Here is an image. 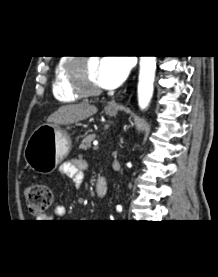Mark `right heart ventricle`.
<instances>
[{
  "instance_id": "obj_1",
  "label": "right heart ventricle",
  "mask_w": 218,
  "mask_h": 277,
  "mask_svg": "<svg viewBox=\"0 0 218 277\" xmlns=\"http://www.w3.org/2000/svg\"><path fill=\"white\" fill-rule=\"evenodd\" d=\"M71 58L62 57L54 66L52 77V93L56 100L64 103L74 102L79 99L70 87L67 76V65L70 63Z\"/></svg>"
}]
</instances>
